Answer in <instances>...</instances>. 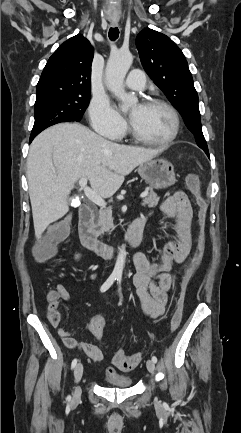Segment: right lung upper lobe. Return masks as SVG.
Instances as JSON below:
<instances>
[{
	"label": "right lung upper lobe",
	"mask_w": 241,
	"mask_h": 433,
	"mask_svg": "<svg viewBox=\"0 0 241 433\" xmlns=\"http://www.w3.org/2000/svg\"><path fill=\"white\" fill-rule=\"evenodd\" d=\"M93 48L83 35L71 37L49 58L37 84V98L90 95Z\"/></svg>",
	"instance_id": "cb5924a9"
}]
</instances>
